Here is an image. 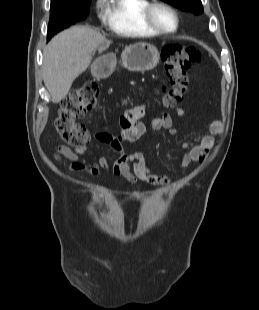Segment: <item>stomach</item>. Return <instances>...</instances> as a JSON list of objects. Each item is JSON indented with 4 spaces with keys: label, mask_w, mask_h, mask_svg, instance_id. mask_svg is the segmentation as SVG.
I'll use <instances>...</instances> for the list:
<instances>
[{
    "label": "stomach",
    "mask_w": 259,
    "mask_h": 310,
    "mask_svg": "<svg viewBox=\"0 0 259 310\" xmlns=\"http://www.w3.org/2000/svg\"><path fill=\"white\" fill-rule=\"evenodd\" d=\"M122 66L129 71L144 72L154 69L160 60L157 48L148 43H135L126 47L121 55ZM116 66L114 54L99 57L91 66L98 78L108 77Z\"/></svg>",
    "instance_id": "obj_1"
}]
</instances>
